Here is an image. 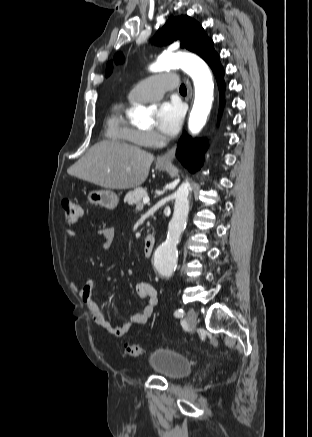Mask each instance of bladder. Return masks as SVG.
Returning <instances> with one entry per match:
<instances>
[{
    "instance_id": "obj_1",
    "label": "bladder",
    "mask_w": 312,
    "mask_h": 437,
    "mask_svg": "<svg viewBox=\"0 0 312 437\" xmlns=\"http://www.w3.org/2000/svg\"><path fill=\"white\" fill-rule=\"evenodd\" d=\"M147 363L151 371L168 381L180 380L192 371L191 362L170 348L153 350L148 355Z\"/></svg>"
}]
</instances>
